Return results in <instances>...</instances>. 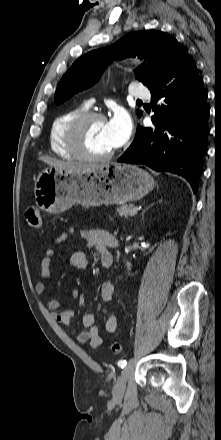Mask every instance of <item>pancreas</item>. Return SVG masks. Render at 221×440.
Returning <instances> with one entry per match:
<instances>
[{
	"mask_svg": "<svg viewBox=\"0 0 221 440\" xmlns=\"http://www.w3.org/2000/svg\"><path fill=\"white\" fill-rule=\"evenodd\" d=\"M135 206L133 204L130 205H122L117 207V213L124 218H128L130 216L131 211Z\"/></svg>",
	"mask_w": 221,
	"mask_h": 440,
	"instance_id": "obj_1",
	"label": "pancreas"
}]
</instances>
